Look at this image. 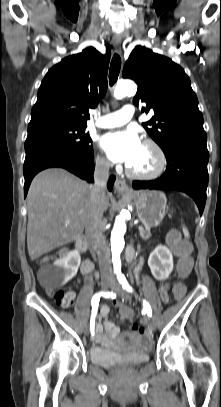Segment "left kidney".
<instances>
[{
  "mask_svg": "<svg viewBox=\"0 0 221 407\" xmlns=\"http://www.w3.org/2000/svg\"><path fill=\"white\" fill-rule=\"evenodd\" d=\"M148 265L156 280H166L173 270V256L166 246L159 245L150 254Z\"/></svg>",
  "mask_w": 221,
  "mask_h": 407,
  "instance_id": "1",
  "label": "left kidney"
}]
</instances>
